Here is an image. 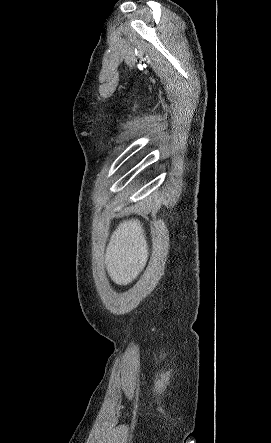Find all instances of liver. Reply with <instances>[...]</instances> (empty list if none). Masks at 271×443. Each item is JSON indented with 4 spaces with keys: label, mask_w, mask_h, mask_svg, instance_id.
<instances>
[{
    "label": "liver",
    "mask_w": 271,
    "mask_h": 443,
    "mask_svg": "<svg viewBox=\"0 0 271 443\" xmlns=\"http://www.w3.org/2000/svg\"><path fill=\"white\" fill-rule=\"evenodd\" d=\"M143 223L123 220L113 231L104 253V263L112 281L127 285L143 271L148 261V243Z\"/></svg>",
    "instance_id": "liver-1"
}]
</instances>
